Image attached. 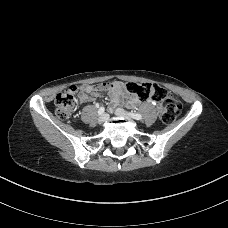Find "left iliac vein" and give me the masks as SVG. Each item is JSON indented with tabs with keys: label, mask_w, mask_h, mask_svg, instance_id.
Wrapping results in <instances>:
<instances>
[{
	"label": "left iliac vein",
	"mask_w": 228,
	"mask_h": 228,
	"mask_svg": "<svg viewBox=\"0 0 228 228\" xmlns=\"http://www.w3.org/2000/svg\"><path fill=\"white\" fill-rule=\"evenodd\" d=\"M115 114L117 116H119V117H129V114L126 111H124L123 109H120V108H117L115 110Z\"/></svg>",
	"instance_id": "left-iliac-vein-1"
}]
</instances>
